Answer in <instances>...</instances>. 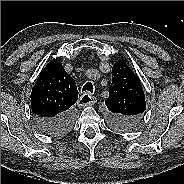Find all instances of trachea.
<instances>
[{
	"mask_svg": "<svg viewBox=\"0 0 184 184\" xmlns=\"http://www.w3.org/2000/svg\"><path fill=\"white\" fill-rule=\"evenodd\" d=\"M84 91H88L90 93H93V84L91 82H87L83 88H82V92Z\"/></svg>",
	"mask_w": 184,
	"mask_h": 184,
	"instance_id": "obj_1",
	"label": "trachea"
}]
</instances>
